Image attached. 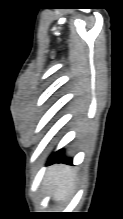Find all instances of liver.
Listing matches in <instances>:
<instances>
[{"instance_id":"1","label":"liver","mask_w":123,"mask_h":219,"mask_svg":"<svg viewBox=\"0 0 123 219\" xmlns=\"http://www.w3.org/2000/svg\"><path fill=\"white\" fill-rule=\"evenodd\" d=\"M76 175L67 166H51L45 177V186L55 201H65L74 191Z\"/></svg>"}]
</instances>
